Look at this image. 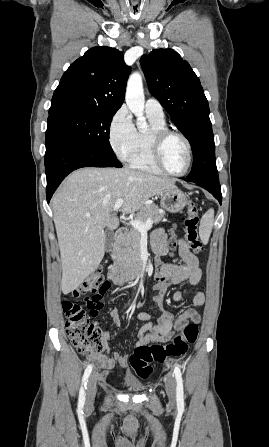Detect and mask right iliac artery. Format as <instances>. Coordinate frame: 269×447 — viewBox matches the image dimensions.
<instances>
[{"label":"right iliac artery","mask_w":269,"mask_h":447,"mask_svg":"<svg viewBox=\"0 0 269 447\" xmlns=\"http://www.w3.org/2000/svg\"><path fill=\"white\" fill-rule=\"evenodd\" d=\"M91 371H92V365H89L86 368L84 375H83L82 386L79 391L78 408H83V406H84L85 397H86L85 389H86L87 380H88V377H89Z\"/></svg>","instance_id":"obj_1"}]
</instances>
